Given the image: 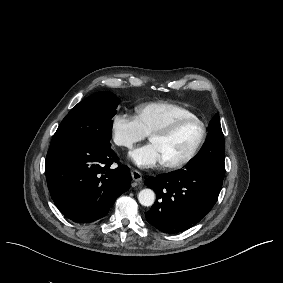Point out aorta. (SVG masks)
<instances>
[{
	"mask_svg": "<svg viewBox=\"0 0 283 283\" xmlns=\"http://www.w3.org/2000/svg\"><path fill=\"white\" fill-rule=\"evenodd\" d=\"M139 203L143 206H152L155 202V193L151 189H143L138 194Z\"/></svg>",
	"mask_w": 283,
	"mask_h": 283,
	"instance_id": "aorta-1",
	"label": "aorta"
}]
</instances>
